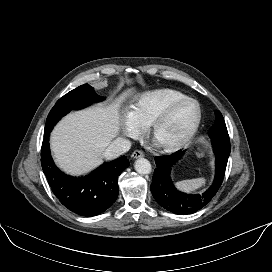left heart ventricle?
I'll return each mask as SVG.
<instances>
[{
	"mask_svg": "<svg viewBox=\"0 0 272 272\" xmlns=\"http://www.w3.org/2000/svg\"><path fill=\"white\" fill-rule=\"evenodd\" d=\"M197 117V107L192 102L178 106L163 124L158 139L164 143H172L182 139L191 129Z\"/></svg>",
	"mask_w": 272,
	"mask_h": 272,
	"instance_id": "b2bd125f",
	"label": "left heart ventricle"
}]
</instances>
